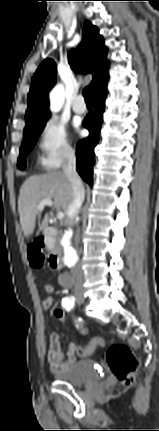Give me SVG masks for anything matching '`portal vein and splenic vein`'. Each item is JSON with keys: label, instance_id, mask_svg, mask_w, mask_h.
I'll use <instances>...</instances> for the list:
<instances>
[{"label": "portal vein and splenic vein", "instance_id": "18ae733b", "mask_svg": "<svg viewBox=\"0 0 159 431\" xmlns=\"http://www.w3.org/2000/svg\"><path fill=\"white\" fill-rule=\"evenodd\" d=\"M45 206H53V202L49 198L43 199L37 206L39 211H42ZM64 218V213L62 211L57 212V219L62 220Z\"/></svg>", "mask_w": 159, "mask_h": 431}]
</instances>
